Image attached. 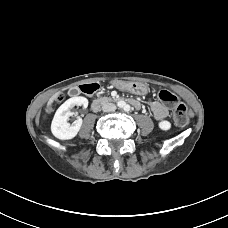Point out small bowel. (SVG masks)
I'll use <instances>...</instances> for the list:
<instances>
[{"instance_id": "c3829d8e", "label": "small bowel", "mask_w": 228, "mask_h": 228, "mask_svg": "<svg viewBox=\"0 0 228 228\" xmlns=\"http://www.w3.org/2000/svg\"><path fill=\"white\" fill-rule=\"evenodd\" d=\"M122 88H128V85L126 84H120L119 85ZM132 105L136 108L140 107V103L137 100H132ZM149 107L156 119H163L168 114V109L166 106H164L162 103L156 101V100H150L149 101Z\"/></svg>"}]
</instances>
